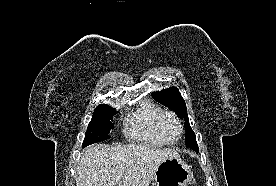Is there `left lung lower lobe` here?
Returning a JSON list of instances; mask_svg holds the SVG:
<instances>
[{
	"label": "left lung lower lobe",
	"mask_w": 276,
	"mask_h": 186,
	"mask_svg": "<svg viewBox=\"0 0 276 186\" xmlns=\"http://www.w3.org/2000/svg\"><path fill=\"white\" fill-rule=\"evenodd\" d=\"M193 150L196 151V152H198V151H199V148L196 147V148H194Z\"/></svg>",
	"instance_id": "0a47b994"
}]
</instances>
